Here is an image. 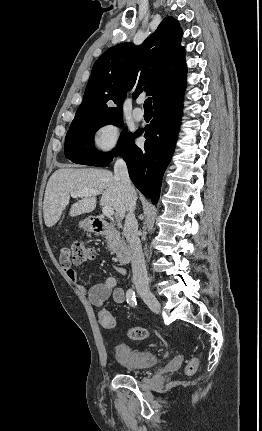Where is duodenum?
I'll use <instances>...</instances> for the list:
<instances>
[{
	"label": "duodenum",
	"mask_w": 262,
	"mask_h": 431,
	"mask_svg": "<svg viewBox=\"0 0 262 431\" xmlns=\"http://www.w3.org/2000/svg\"><path fill=\"white\" fill-rule=\"evenodd\" d=\"M90 224L94 232L98 234L109 233L113 229L110 223L98 217H92L90 219ZM117 257L121 263L123 264L129 263L131 260L130 246L124 243L120 244L117 250Z\"/></svg>",
	"instance_id": "duodenum-1"
}]
</instances>
